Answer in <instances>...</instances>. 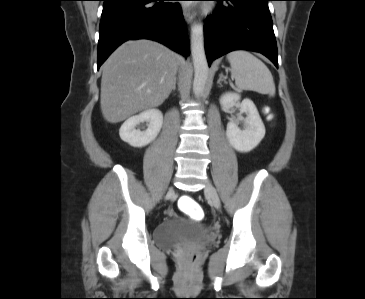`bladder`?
<instances>
[{"instance_id": "1", "label": "bladder", "mask_w": 365, "mask_h": 299, "mask_svg": "<svg viewBox=\"0 0 365 299\" xmlns=\"http://www.w3.org/2000/svg\"><path fill=\"white\" fill-rule=\"evenodd\" d=\"M154 240L161 249L176 250L188 245H210L213 237L206 225L176 216L156 226Z\"/></svg>"}]
</instances>
